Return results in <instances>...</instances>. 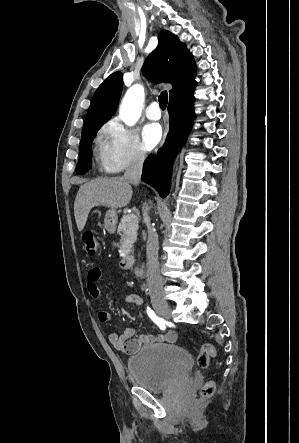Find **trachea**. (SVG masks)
Masks as SVG:
<instances>
[{
    "label": "trachea",
    "mask_w": 299,
    "mask_h": 443,
    "mask_svg": "<svg viewBox=\"0 0 299 443\" xmlns=\"http://www.w3.org/2000/svg\"><path fill=\"white\" fill-rule=\"evenodd\" d=\"M158 100H159L160 107H161L163 110H165V109H166V106H167V103H168V94H167V91H163V92L159 95Z\"/></svg>",
    "instance_id": "1"
}]
</instances>
